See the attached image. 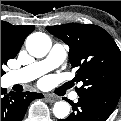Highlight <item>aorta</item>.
I'll return each mask as SVG.
<instances>
[{"label":"aorta","mask_w":121,"mask_h":121,"mask_svg":"<svg viewBox=\"0 0 121 121\" xmlns=\"http://www.w3.org/2000/svg\"><path fill=\"white\" fill-rule=\"evenodd\" d=\"M27 51L36 58H42L51 49V39L42 32L30 34L26 39ZM70 106L66 101H58L54 104L53 113L59 119H64L69 115Z\"/></svg>","instance_id":"obj_1"}]
</instances>
